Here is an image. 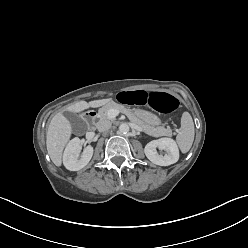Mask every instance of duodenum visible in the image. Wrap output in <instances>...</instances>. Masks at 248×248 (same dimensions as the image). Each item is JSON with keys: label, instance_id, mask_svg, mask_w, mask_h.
I'll return each instance as SVG.
<instances>
[{"label": "duodenum", "instance_id": "410a0bca", "mask_svg": "<svg viewBox=\"0 0 248 248\" xmlns=\"http://www.w3.org/2000/svg\"><path fill=\"white\" fill-rule=\"evenodd\" d=\"M96 116H97V111L94 110V109H92V110H89V111L87 112V114H86V119H87L88 121H92V120H94V119L96 118Z\"/></svg>", "mask_w": 248, "mask_h": 248}]
</instances>
